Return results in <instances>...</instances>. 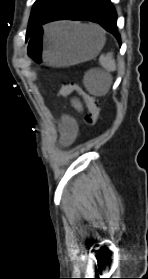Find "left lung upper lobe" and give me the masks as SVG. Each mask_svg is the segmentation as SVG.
<instances>
[{"label": "left lung upper lobe", "instance_id": "5c2ea615", "mask_svg": "<svg viewBox=\"0 0 148 279\" xmlns=\"http://www.w3.org/2000/svg\"><path fill=\"white\" fill-rule=\"evenodd\" d=\"M65 0H36L29 19L26 36L29 37L39 24L51 15Z\"/></svg>", "mask_w": 148, "mask_h": 279}]
</instances>
